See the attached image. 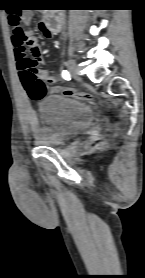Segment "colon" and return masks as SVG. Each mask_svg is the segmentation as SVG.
<instances>
[{"label": "colon", "mask_w": 145, "mask_h": 278, "mask_svg": "<svg viewBox=\"0 0 145 278\" xmlns=\"http://www.w3.org/2000/svg\"><path fill=\"white\" fill-rule=\"evenodd\" d=\"M9 25L11 27V30L13 32L14 37L19 41V43L22 46H27L28 44L31 43V37L29 32L22 27V22H21V18L18 14L13 13L9 16ZM23 55L24 51L22 50L21 52H19V55ZM64 93L67 95H74L77 96L79 98H83V99H91L92 95L90 93L87 92H83V91H77V90H73V89H64ZM33 95V93H31Z\"/></svg>", "instance_id": "obj_1"}]
</instances>
